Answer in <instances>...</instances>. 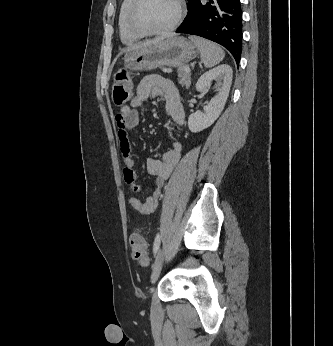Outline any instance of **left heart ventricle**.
I'll list each match as a JSON object with an SVG mask.
<instances>
[{
    "label": "left heart ventricle",
    "mask_w": 333,
    "mask_h": 346,
    "mask_svg": "<svg viewBox=\"0 0 333 346\" xmlns=\"http://www.w3.org/2000/svg\"><path fill=\"white\" fill-rule=\"evenodd\" d=\"M176 10L175 0H144L138 12V20L147 29H163L172 23Z\"/></svg>",
    "instance_id": "b2bd125f"
}]
</instances>
